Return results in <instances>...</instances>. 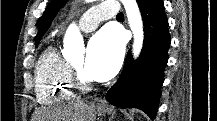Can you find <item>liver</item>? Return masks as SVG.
I'll list each match as a JSON object with an SVG mask.
<instances>
[{
  "instance_id": "6515ba94",
  "label": "liver",
  "mask_w": 217,
  "mask_h": 121,
  "mask_svg": "<svg viewBox=\"0 0 217 121\" xmlns=\"http://www.w3.org/2000/svg\"><path fill=\"white\" fill-rule=\"evenodd\" d=\"M95 107L82 101H76L59 108L43 110L41 121H95Z\"/></svg>"
}]
</instances>
